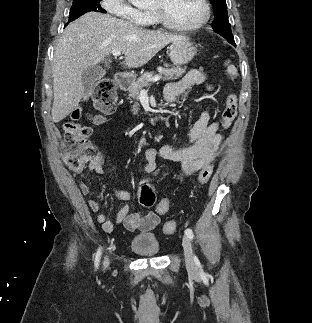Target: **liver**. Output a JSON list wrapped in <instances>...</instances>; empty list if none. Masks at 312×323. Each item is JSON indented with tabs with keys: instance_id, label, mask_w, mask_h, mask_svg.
Returning <instances> with one entry per match:
<instances>
[{
	"instance_id": "6515ba94",
	"label": "liver",
	"mask_w": 312,
	"mask_h": 323,
	"mask_svg": "<svg viewBox=\"0 0 312 323\" xmlns=\"http://www.w3.org/2000/svg\"><path fill=\"white\" fill-rule=\"evenodd\" d=\"M180 38L183 36L142 30L131 22L99 12H88L71 22L54 48L53 122H61L84 98V70L104 62L113 50L125 54L127 68H140L167 44Z\"/></svg>"
}]
</instances>
